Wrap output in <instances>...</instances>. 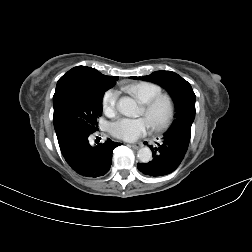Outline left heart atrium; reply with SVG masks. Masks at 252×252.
<instances>
[{
	"label": "left heart atrium",
	"instance_id": "1",
	"mask_svg": "<svg viewBox=\"0 0 252 252\" xmlns=\"http://www.w3.org/2000/svg\"><path fill=\"white\" fill-rule=\"evenodd\" d=\"M149 124L144 117L121 118L110 125V133L125 141H134L143 136Z\"/></svg>",
	"mask_w": 252,
	"mask_h": 252
}]
</instances>
